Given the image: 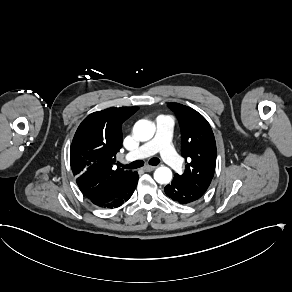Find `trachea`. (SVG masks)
<instances>
[{
	"label": "trachea",
	"instance_id": "1",
	"mask_svg": "<svg viewBox=\"0 0 292 292\" xmlns=\"http://www.w3.org/2000/svg\"><path fill=\"white\" fill-rule=\"evenodd\" d=\"M159 163H160V160L157 157H153L149 160V164L153 166H157ZM119 165L124 169H137V168L142 167L144 165V162L141 160H137L127 165H123V164H119Z\"/></svg>",
	"mask_w": 292,
	"mask_h": 292
}]
</instances>
